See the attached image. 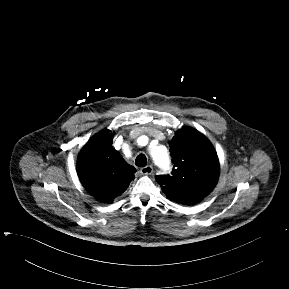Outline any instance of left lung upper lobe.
I'll list each match as a JSON object with an SVG mask.
<instances>
[{
	"mask_svg": "<svg viewBox=\"0 0 289 289\" xmlns=\"http://www.w3.org/2000/svg\"><path fill=\"white\" fill-rule=\"evenodd\" d=\"M174 163L172 176L157 175L167 197L179 204L193 205L215 187L219 176V160L210 141L197 130L183 127L170 142Z\"/></svg>",
	"mask_w": 289,
	"mask_h": 289,
	"instance_id": "left-lung-upper-lobe-1",
	"label": "left lung upper lobe"
}]
</instances>
